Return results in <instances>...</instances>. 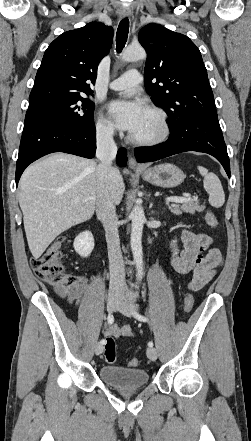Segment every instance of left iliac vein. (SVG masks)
I'll return each mask as SVG.
<instances>
[{"label": "left iliac vein", "instance_id": "left-iliac-vein-1", "mask_svg": "<svg viewBox=\"0 0 251 441\" xmlns=\"http://www.w3.org/2000/svg\"><path fill=\"white\" fill-rule=\"evenodd\" d=\"M116 309L120 311L123 315L131 317L133 315V312L135 311V306L129 302L127 295H123L120 298ZM146 354L151 361H155L157 359V351L154 347L147 348Z\"/></svg>", "mask_w": 251, "mask_h": 441}]
</instances>
